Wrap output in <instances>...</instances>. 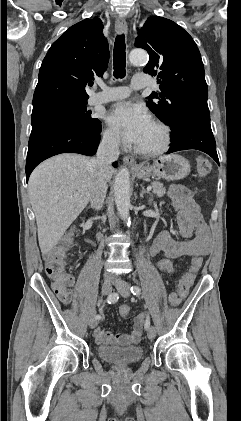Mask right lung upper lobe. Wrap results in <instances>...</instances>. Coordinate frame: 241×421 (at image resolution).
<instances>
[{"instance_id":"1","label":"right lung upper lobe","mask_w":241,"mask_h":421,"mask_svg":"<svg viewBox=\"0 0 241 421\" xmlns=\"http://www.w3.org/2000/svg\"><path fill=\"white\" fill-rule=\"evenodd\" d=\"M100 19L71 26L47 52L39 71L33 107L52 101H87L85 87L102 76L109 47Z\"/></svg>"}]
</instances>
